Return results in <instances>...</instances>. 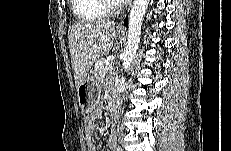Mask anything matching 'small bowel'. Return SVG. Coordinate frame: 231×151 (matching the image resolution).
<instances>
[{"instance_id":"small-bowel-1","label":"small bowel","mask_w":231,"mask_h":151,"mask_svg":"<svg viewBox=\"0 0 231 151\" xmlns=\"http://www.w3.org/2000/svg\"><path fill=\"white\" fill-rule=\"evenodd\" d=\"M100 117H101V111L97 110L92 115H90L85 119V133H86V143H87L88 151H96V146L92 139V134L94 131V122ZM114 146H115V135L112 133L110 135L108 148L113 149Z\"/></svg>"}]
</instances>
